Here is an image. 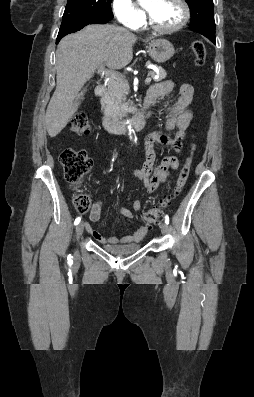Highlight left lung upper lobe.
Segmentation results:
<instances>
[{
    "instance_id": "1",
    "label": "left lung upper lobe",
    "mask_w": 254,
    "mask_h": 397,
    "mask_svg": "<svg viewBox=\"0 0 254 397\" xmlns=\"http://www.w3.org/2000/svg\"><path fill=\"white\" fill-rule=\"evenodd\" d=\"M191 10L189 26L215 28L213 0H185Z\"/></svg>"
}]
</instances>
